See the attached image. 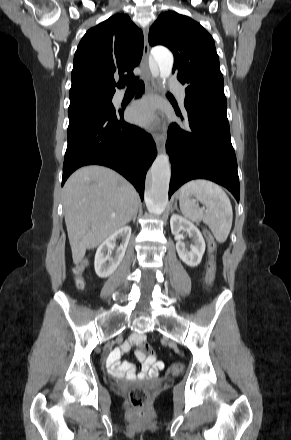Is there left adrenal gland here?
Listing matches in <instances>:
<instances>
[{"label": "left adrenal gland", "instance_id": "1", "mask_svg": "<svg viewBox=\"0 0 291 440\" xmlns=\"http://www.w3.org/2000/svg\"><path fill=\"white\" fill-rule=\"evenodd\" d=\"M174 208H175V209H177V203H175V206H174Z\"/></svg>", "mask_w": 291, "mask_h": 440}]
</instances>
